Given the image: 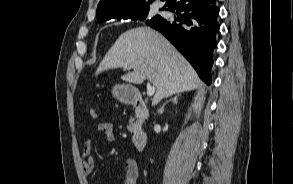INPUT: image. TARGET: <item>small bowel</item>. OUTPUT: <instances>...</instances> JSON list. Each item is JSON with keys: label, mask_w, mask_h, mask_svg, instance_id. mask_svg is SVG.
Returning <instances> with one entry per match:
<instances>
[{"label": "small bowel", "mask_w": 293, "mask_h": 184, "mask_svg": "<svg viewBox=\"0 0 293 184\" xmlns=\"http://www.w3.org/2000/svg\"><path fill=\"white\" fill-rule=\"evenodd\" d=\"M95 129L102 133L108 142L114 141V128L110 122H99L95 125ZM82 157L83 174L89 176L95 167V159L92 155V140L90 138L84 140ZM120 170L125 177L123 184H139L140 173L137 162L134 159L126 160L125 163L121 165Z\"/></svg>", "instance_id": "small-bowel-1"}]
</instances>
